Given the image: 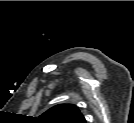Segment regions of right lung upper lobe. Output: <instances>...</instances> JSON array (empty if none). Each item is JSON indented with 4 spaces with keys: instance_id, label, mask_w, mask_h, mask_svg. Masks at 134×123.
Returning a JSON list of instances; mask_svg holds the SVG:
<instances>
[{
    "instance_id": "1",
    "label": "right lung upper lobe",
    "mask_w": 134,
    "mask_h": 123,
    "mask_svg": "<svg viewBox=\"0 0 134 123\" xmlns=\"http://www.w3.org/2000/svg\"><path fill=\"white\" fill-rule=\"evenodd\" d=\"M37 119L41 123H85L84 116L72 104L56 105Z\"/></svg>"
}]
</instances>
